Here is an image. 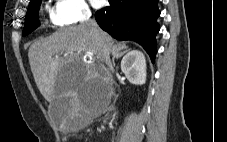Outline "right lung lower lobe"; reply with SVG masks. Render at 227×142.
Instances as JSON below:
<instances>
[{
	"label": "right lung lower lobe",
	"instance_id": "1",
	"mask_svg": "<svg viewBox=\"0 0 227 142\" xmlns=\"http://www.w3.org/2000/svg\"><path fill=\"white\" fill-rule=\"evenodd\" d=\"M109 3L95 14L99 26L115 39L139 43L154 62L155 36L160 30L158 0H109Z\"/></svg>",
	"mask_w": 227,
	"mask_h": 142
}]
</instances>
